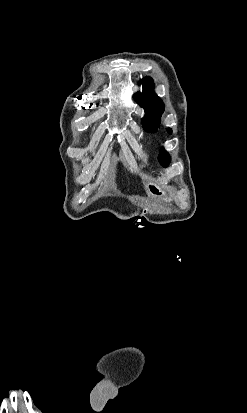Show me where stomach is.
I'll return each mask as SVG.
<instances>
[{
	"instance_id": "obj_1",
	"label": "stomach",
	"mask_w": 247,
	"mask_h": 413,
	"mask_svg": "<svg viewBox=\"0 0 247 413\" xmlns=\"http://www.w3.org/2000/svg\"><path fill=\"white\" fill-rule=\"evenodd\" d=\"M146 190L148 194L156 196V198H160V200H164V202H170V200H172V196H167L165 190H163L162 186H159L157 182H147Z\"/></svg>"
}]
</instances>
